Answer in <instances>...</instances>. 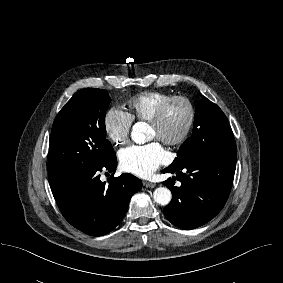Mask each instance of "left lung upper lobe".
<instances>
[{
    "label": "left lung upper lobe",
    "mask_w": 283,
    "mask_h": 283,
    "mask_svg": "<svg viewBox=\"0 0 283 283\" xmlns=\"http://www.w3.org/2000/svg\"><path fill=\"white\" fill-rule=\"evenodd\" d=\"M232 150H235V140L225 114L203 96L196 105L193 134L182 144L170 167Z\"/></svg>",
    "instance_id": "left-lung-upper-lobe-1"
}]
</instances>
